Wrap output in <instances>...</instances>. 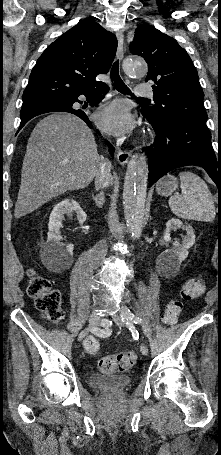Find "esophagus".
<instances>
[{"label": "esophagus", "mask_w": 221, "mask_h": 455, "mask_svg": "<svg viewBox=\"0 0 221 455\" xmlns=\"http://www.w3.org/2000/svg\"><path fill=\"white\" fill-rule=\"evenodd\" d=\"M116 37L118 41L117 57L121 61L124 55V37L121 31L116 32ZM130 156L131 154L128 151L118 150L117 152V160L121 165L127 164L130 159Z\"/></svg>", "instance_id": "34e87169"}]
</instances>
